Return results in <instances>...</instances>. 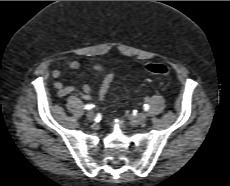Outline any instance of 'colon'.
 <instances>
[{
	"instance_id": "colon-1",
	"label": "colon",
	"mask_w": 230,
	"mask_h": 186,
	"mask_svg": "<svg viewBox=\"0 0 230 186\" xmlns=\"http://www.w3.org/2000/svg\"><path fill=\"white\" fill-rule=\"evenodd\" d=\"M144 68L146 71H148L152 74H155V75L166 76L170 73L169 67L165 64H162V63H154V62L146 63L144 65Z\"/></svg>"
}]
</instances>
